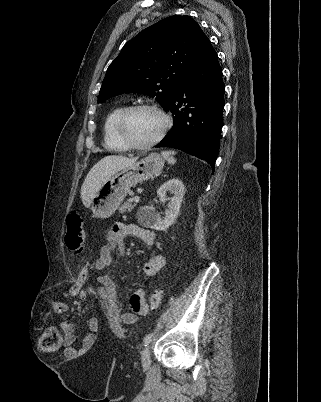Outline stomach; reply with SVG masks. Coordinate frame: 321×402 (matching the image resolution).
I'll return each mask as SVG.
<instances>
[{"mask_svg": "<svg viewBox=\"0 0 321 402\" xmlns=\"http://www.w3.org/2000/svg\"><path fill=\"white\" fill-rule=\"evenodd\" d=\"M163 166V157L158 153H151L116 172L96 191L91 199L90 207L93 216L97 218L112 216L131 187L159 174Z\"/></svg>", "mask_w": 321, "mask_h": 402, "instance_id": "0dacf381", "label": "stomach"}]
</instances>
